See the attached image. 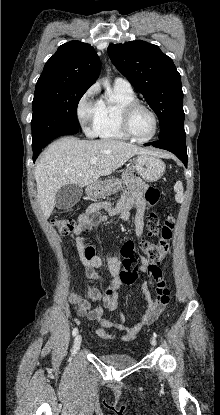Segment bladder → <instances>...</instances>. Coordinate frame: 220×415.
<instances>
[{
    "instance_id": "bladder-1",
    "label": "bladder",
    "mask_w": 220,
    "mask_h": 415,
    "mask_svg": "<svg viewBox=\"0 0 220 415\" xmlns=\"http://www.w3.org/2000/svg\"><path fill=\"white\" fill-rule=\"evenodd\" d=\"M99 358L117 368H129L136 364V359L123 353H100Z\"/></svg>"
}]
</instances>
